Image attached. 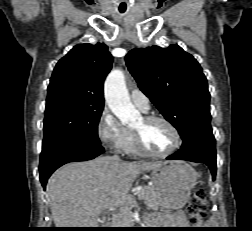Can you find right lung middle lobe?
<instances>
[{
	"mask_svg": "<svg viewBox=\"0 0 252 231\" xmlns=\"http://www.w3.org/2000/svg\"><path fill=\"white\" fill-rule=\"evenodd\" d=\"M103 107L66 96L47 99L43 147L62 140L100 144L97 128Z\"/></svg>",
	"mask_w": 252,
	"mask_h": 231,
	"instance_id": "dd1d6c3e",
	"label": "right lung middle lobe"
}]
</instances>
